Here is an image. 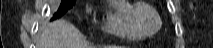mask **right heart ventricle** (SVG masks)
<instances>
[{"label":"right heart ventricle","mask_w":213,"mask_h":48,"mask_svg":"<svg viewBox=\"0 0 213 48\" xmlns=\"http://www.w3.org/2000/svg\"><path fill=\"white\" fill-rule=\"evenodd\" d=\"M137 8L138 5L132 1H116L107 11L104 29L122 39L130 41L144 39L146 35L139 29L134 18Z\"/></svg>","instance_id":"obj_1"}]
</instances>
